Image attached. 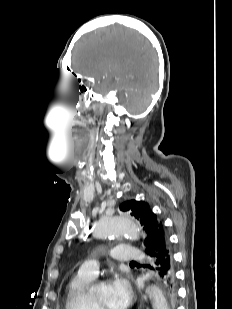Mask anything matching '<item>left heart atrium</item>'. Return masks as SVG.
<instances>
[{"mask_svg": "<svg viewBox=\"0 0 232 309\" xmlns=\"http://www.w3.org/2000/svg\"><path fill=\"white\" fill-rule=\"evenodd\" d=\"M113 302L118 309H125L131 300V287L123 279H116L111 283Z\"/></svg>", "mask_w": 232, "mask_h": 309, "instance_id": "obj_1", "label": "left heart atrium"}]
</instances>
